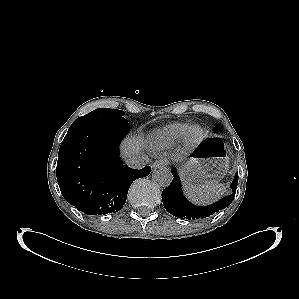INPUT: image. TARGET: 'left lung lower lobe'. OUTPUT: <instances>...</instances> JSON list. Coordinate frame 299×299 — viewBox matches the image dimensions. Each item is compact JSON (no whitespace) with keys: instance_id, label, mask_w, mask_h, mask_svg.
I'll return each mask as SVG.
<instances>
[{"instance_id":"obj_1","label":"left lung lower lobe","mask_w":299,"mask_h":299,"mask_svg":"<svg viewBox=\"0 0 299 299\" xmlns=\"http://www.w3.org/2000/svg\"><path fill=\"white\" fill-rule=\"evenodd\" d=\"M172 174L173 181L167 188L163 190L162 201L165 209L175 217L181 219L206 218L213 215L215 212L228 207L235 197L236 188L238 185V173L235 175L231 184L233 193L212 205L204 207L195 206L186 200V198L183 196L181 182L175 168L172 169Z\"/></svg>"}]
</instances>
